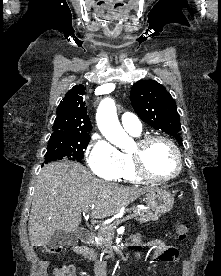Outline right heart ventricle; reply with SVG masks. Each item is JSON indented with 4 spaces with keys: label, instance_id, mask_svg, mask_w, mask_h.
<instances>
[{
    "label": "right heart ventricle",
    "instance_id": "1",
    "mask_svg": "<svg viewBox=\"0 0 221 276\" xmlns=\"http://www.w3.org/2000/svg\"><path fill=\"white\" fill-rule=\"evenodd\" d=\"M133 135L139 136V134H133ZM119 178L129 182H139L141 180L135 172L133 161L129 153L122 154V169H121Z\"/></svg>",
    "mask_w": 221,
    "mask_h": 276
}]
</instances>
